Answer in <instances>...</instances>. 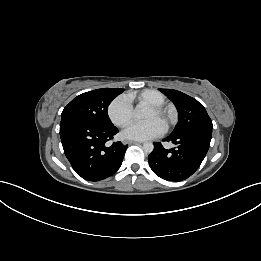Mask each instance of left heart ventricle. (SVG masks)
<instances>
[{
  "label": "left heart ventricle",
  "mask_w": 261,
  "mask_h": 261,
  "mask_svg": "<svg viewBox=\"0 0 261 261\" xmlns=\"http://www.w3.org/2000/svg\"><path fill=\"white\" fill-rule=\"evenodd\" d=\"M146 120H151V119H157L158 121H160L163 125H165L166 119L165 117L158 115L157 113H155L153 110L149 109L146 116H145Z\"/></svg>",
  "instance_id": "1"
}]
</instances>
